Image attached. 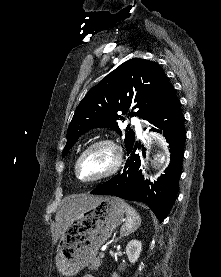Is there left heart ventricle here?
Returning <instances> with one entry per match:
<instances>
[{
  "label": "left heart ventricle",
  "instance_id": "obj_1",
  "mask_svg": "<svg viewBox=\"0 0 221 277\" xmlns=\"http://www.w3.org/2000/svg\"><path fill=\"white\" fill-rule=\"evenodd\" d=\"M113 155L106 147H98L84 156L79 165V175L91 179L104 173L112 164Z\"/></svg>",
  "mask_w": 221,
  "mask_h": 277
}]
</instances>
